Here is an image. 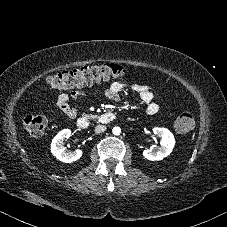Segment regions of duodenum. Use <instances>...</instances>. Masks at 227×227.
Returning a JSON list of instances; mask_svg holds the SVG:
<instances>
[{"label":"duodenum","instance_id":"410a0bca","mask_svg":"<svg viewBox=\"0 0 227 227\" xmlns=\"http://www.w3.org/2000/svg\"><path fill=\"white\" fill-rule=\"evenodd\" d=\"M114 119V113L106 112L99 117L98 122L101 124H107L112 122ZM76 125L80 129H87L90 126V121L86 117H81L77 120Z\"/></svg>","mask_w":227,"mask_h":227}]
</instances>
